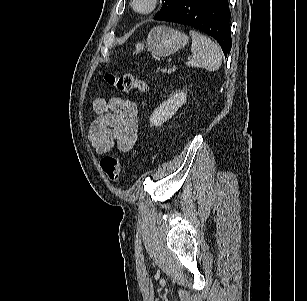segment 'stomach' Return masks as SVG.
I'll return each mask as SVG.
<instances>
[{"label": "stomach", "mask_w": 307, "mask_h": 301, "mask_svg": "<svg viewBox=\"0 0 307 301\" xmlns=\"http://www.w3.org/2000/svg\"><path fill=\"white\" fill-rule=\"evenodd\" d=\"M188 37L177 30L166 26H157L148 34L146 47L159 57L169 56L185 47ZM144 43H137L136 52L144 50Z\"/></svg>", "instance_id": "0dacf381"}]
</instances>
